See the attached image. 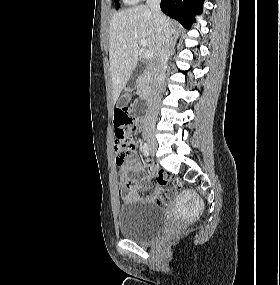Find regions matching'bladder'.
<instances>
[{"instance_id": "31cf9c89", "label": "bladder", "mask_w": 280, "mask_h": 285, "mask_svg": "<svg viewBox=\"0 0 280 285\" xmlns=\"http://www.w3.org/2000/svg\"><path fill=\"white\" fill-rule=\"evenodd\" d=\"M117 220L120 234L140 243L157 236L167 223L160 209L142 200L121 204Z\"/></svg>"}]
</instances>
